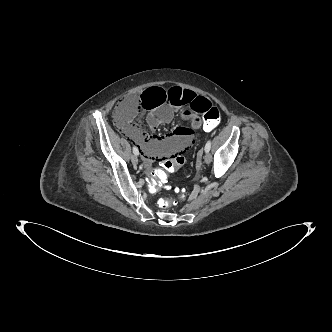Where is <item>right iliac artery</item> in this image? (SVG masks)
Masks as SVG:
<instances>
[{
    "label": "right iliac artery",
    "instance_id": "right-iliac-artery-1",
    "mask_svg": "<svg viewBox=\"0 0 332 332\" xmlns=\"http://www.w3.org/2000/svg\"><path fill=\"white\" fill-rule=\"evenodd\" d=\"M133 153H134L135 155H138V154H139V150H138V148H137L136 146H133Z\"/></svg>",
    "mask_w": 332,
    "mask_h": 332
}]
</instances>
